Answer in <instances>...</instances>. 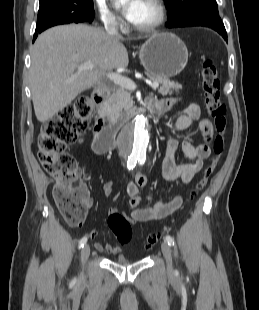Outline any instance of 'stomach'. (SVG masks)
Instances as JSON below:
<instances>
[{
	"instance_id": "obj_1",
	"label": "stomach",
	"mask_w": 259,
	"mask_h": 310,
	"mask_svg": "<svg viewBox=\"0 0 259 310\" xmlns=\"http://www.w3.org/2000/svg\"><path fill=\"white\" fill-rule=\"evenodd\" d=\"M139 58L149 74L169 79L183 71L188 61V51L176 35L158 33L141 46Z\"/></svg>"
}]
</instances>
